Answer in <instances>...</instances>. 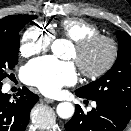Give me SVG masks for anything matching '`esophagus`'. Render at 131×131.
Wrapping results in <instances>:
<instances>
[{
    "label": "esophagus",
    "instance_id": "34e87169",
    "mask_svg": "<svg viewBox=\"0 0 131 131\" xmlns=\"http://www.w3.org/2000/svg\"><path fill=\"white\" fill-rule=\"evenodd\" d=\"M43 100H44L46 103H53V102H55V100L50 99V98H44Z\"/></svg>",
    "mask_w": 131,
    "mask_h": 131
}]
</instances>
